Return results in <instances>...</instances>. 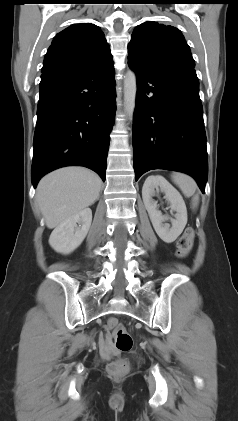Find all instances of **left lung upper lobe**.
Returning <instances> with one entry per match:
<instances>
[{
  "label": "left lung upper lobe",
  "mask_w": 238,
  "mask_h": 421,
  "mask_svg": "<svg viewBox=\"0 0 238 421\" xmlns=\"http://www.w3.org/2000/svg\"><path fill=\"white\" fill-rule=\"evenodd\" d=\"M128 53V59L152 71L195 67L190 48L181 31L157 22L147 21L134 29Z\"/></svg>",
  "instance_id": "1"
}]
</instances>
